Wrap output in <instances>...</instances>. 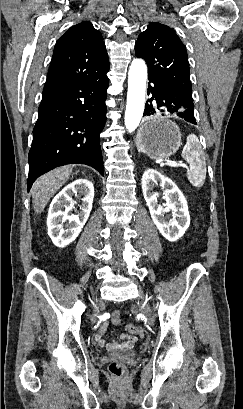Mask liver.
Returning a JSON list of instances; mask_svg holds the SVG:
<instances>
[{"label": "liver", "mask_w": 243, "mask_h": 409, "mask_svg": "<svg viewBox=\"0 0 243 409\" xmlns=\"http://www.w3.org/2000/svg\"><path fill=\"white\" fill-rule=\"evenodd\" d=\"M72 173L71 166L56 168L38 178L32 187L34 211L40 214L54 194L67 182Z\"/></svg>", "instance_id": "liver-1"}]
</instances>
